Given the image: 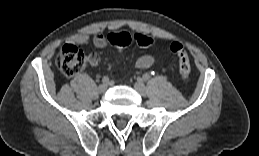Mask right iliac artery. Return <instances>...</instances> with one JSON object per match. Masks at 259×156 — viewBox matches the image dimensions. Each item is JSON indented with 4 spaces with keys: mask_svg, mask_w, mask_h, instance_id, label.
<instances>
[{
    "mask_svg": "<svg viewBox=\"0 0 259 156\" xmlns=\"http://www.w3.org/2000/svg\"><path fill=\"white\" fill-rule=\"evenodd\" d=\"M102 82H103V83H108V82H109V78H108L107 76H104V77L102 78Z\"/></svg>",
    "mask_w": 259,
    "mask_h": 156,
    "instance_id": "right-iliac-artery-1",
    "label": "right iliac artery"
}]
</instances>
